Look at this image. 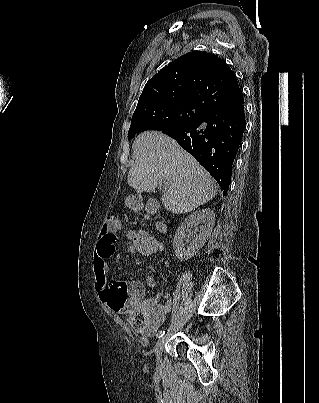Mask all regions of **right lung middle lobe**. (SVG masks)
Returning a JSON list of instances; mask_svg holds the SVG:
<instances>
[{"label": "right lung middle lobe", "instance_id": "dd1d6c3e", "mask_svg": "<svg viewBox=\"0 0 319 403\" xmlns=\"http://www.w3.org/2000/svg\"><path fill=\"white\" fill-rule=\"evenodd\" d=\"M207 112L206 109L192 104L163 103L148 106L132 117L128 139L146 130L195 123Z\"/></svg>", "mask_w": 319, "mask_h": 403}]
</instances>
